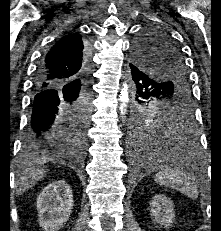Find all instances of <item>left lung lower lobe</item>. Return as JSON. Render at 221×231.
Listing matches in <instances>:
<instances>
[{
    "label": "left lung lower lobe",
    "instance_id": "0a47b994",
    "mask_svg": "<svg viewBox=\"0 0 221 231\" xmlns=\"http://www.w3.org/2000/svg\"><path fill=\"white\" fill-rule=\"evenodd\" d=\"M132 79L135 85L134 112L140 109V104L144 99L158 94L163 88L164 83L158 82L151 78L149 74L135 65L130 64ZM170 127L173 130L167 133L157 132L150 136H138L132 131V148L138 156L145 158L147 161H157L156 153L160 149H167L170 156L165 158L166 162L174 165L186 167L190 160L194 158L198 151L197 138L194 133V121L192 117H186L179 122L173 123ZM177 130L182 131L180 134Z\"/></svg>",
    "mask_w": 221,
    "mask_h": 231
}]
</instances>
